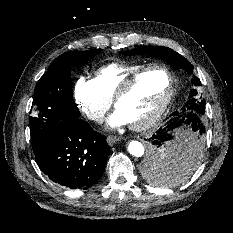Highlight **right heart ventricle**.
<instances>
[{
    "mask_svg": "<svg viewBox=\"0 0 233 233\" xmlns=\"http://www.w3.org/2000/svg\"><path fill=\"white\" fill-rule=\"evenodd\" d=\"M144 67L145 64H108L97 69L93 79L103 97L111 101L120 85Z\"/></svg>",
    "mask_w": 233,
    "mask_h": 233,
    "instance_id": "1",
    "label": "right heart ventricle"
}]
</instances>
